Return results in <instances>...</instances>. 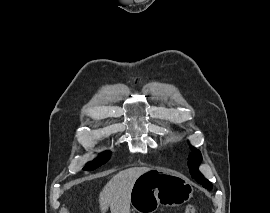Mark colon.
Returning a JSON list of instances; mask_svg holds the SVG:
<instances>
[{
  "label": "colon",
  "mask_w": 270,
  "mask_h": 213,
  "mask_svg": "<svg viewBox=\"0 0 270 213\" xmlns=\"http://www.w3.org/2000/svg\"><path fill=\"white\" fill-rule=\"evenodd\" d=\"M186 213H198V210L194 206H188L186 209Z\"/></svg>",
  "instance_id": "1"
}]
</instances>
